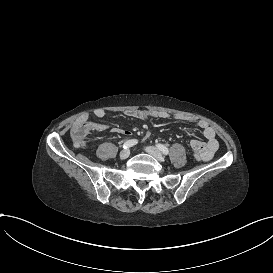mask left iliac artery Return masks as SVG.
I'll list each match as a JSON object with an SVG mask.
<instances>
[{"mask_svg":"<svg viewBox=\"0 0 273 273\" xmlns=\"http://www.w3.org/2000/svg\"><path fill=\"white\" fill-rule=\"evenodd\" d=\"M157 147L164 155L169 154V150H168V148L166 146H164L162 144H158Z\"/></svg>","mask_w":273,"mask_h":273,"instance_id":"left-iliac-artery-1","label":"left iliac artery"}]
</instances>
